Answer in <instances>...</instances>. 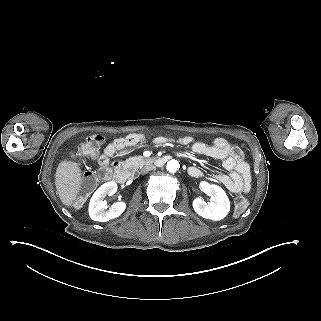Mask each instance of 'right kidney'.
<instances>
[{
  "label": "right kidney",
  "instance_id": "obj_1",
  "mask_svg": "<svg viewBox=\"0 0 321 321\" xmlns=\"http://www.w3.org/2000/svg\"><path fill=\"white\" fill-rule=\"evenodd\" d=\"M117 188V184L110 181L104 183L96 190L89 204V215L93 221L106 222L119 217L125 211L127 203L124 201L115 202L109 210H105L107 205L106 202L103 201L104 197L108 194H115Z\"/></svg>",
  "mask_w": 321,
  "mask_h": 321
}]
</instances>
